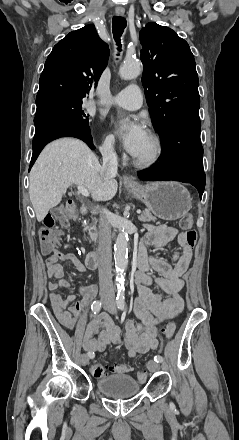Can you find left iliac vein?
I'll return each instance as SVG.
<instances>
[{
	"mask_svg": "<svg viewBox=\"0 0 239 440\" xmlns=\"http://www.w3.org/2000/svg\"><path fill=\"white\" fill-rule=\"evenodd\" d=\"M105 309L108 310L111 314L116 313V307L114 302L110 301L105 306ZM147 368L150 372H156L160 369L159 363L155 362L154 360H151L147 363Z\"/></svg>",
	"mask_w": 239,
	"mask_h": 440,
	"instance_id": "1",
	"label": "left iliac vein"
}]
</instances>
